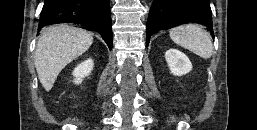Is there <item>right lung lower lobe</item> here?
Returning <instances> with one entry per match:
<instances>
[{
	"mask_svg": "<svg viewBox=\"0 0 257 130\" xmlns=\"http://www.w3.org/2000/svg\"><path fill=\"white\" fill-rule=\"evenodd\" d=\"M74 23L101 34L112 48L110 0H45L38 30L52 24Z\"/></svg>",
	"mask_w": 257,
	"mask_h": 130,
	"instance_id": "98d812e1",
	"label": "right lung lower lobe"
}]
</instances>
